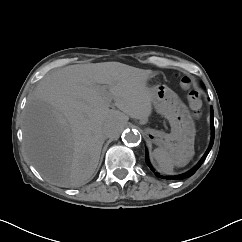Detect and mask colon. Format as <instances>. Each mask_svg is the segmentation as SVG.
<instances>
[{
    "label": "colon",
    "mask_w": 242,
    "mask_h": 242,
    "mask_svg": "<svg viewBox=\"0 0 242 242\" xmlns=\"http://www.w3.org/2000/svg\"><path fill=\"white\" fill-rule=\"evenodd\" d=\"M192 81L190 77L184 76L181 78V85L184 89H190ZM188 103L193 111V114L198 117L200 115L202 100L198 91L191 90L188 94Z\"/></svg>",
    "instance_id": "colon-1"
}]
</instances>
